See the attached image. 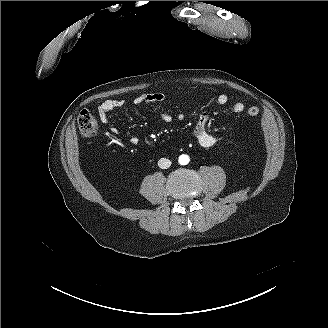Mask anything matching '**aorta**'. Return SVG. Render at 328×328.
Wrapping results in <instances>:
<instances>
[{
    "label": "aorta",
    "mask_w": 328,
    "mask_h": 328,
    "mask_svg": "<svg viewBox=\"0 0 328 328\" xmlns=\"http://www.w3.org/2000/svg\"><path fill=\"white\" fill-rule=\"evenodd\" d=\"M189 160H190L189 156L185 155V154L179 156V159H178V161L181 165H187L189 163Z\"/></svg>",
    "instance_id": "1"
}]
</instances>
